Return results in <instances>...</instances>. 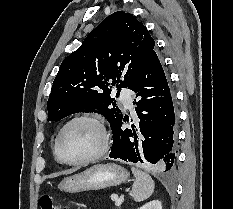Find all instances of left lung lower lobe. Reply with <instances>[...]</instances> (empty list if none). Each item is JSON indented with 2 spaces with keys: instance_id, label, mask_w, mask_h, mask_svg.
Here are the masks:
<instances>
[{
  "instance_id": "0a47b994",
  "label": "left lung lower lobe",
  "mask_w": 233,
  "mask_h": 209,
  "mask_svg": "<svg viewBox=\"0 0 233 209\" xmlns=\"http://www.w3.org/2000/svg\"><path fill=\"white\" fill-rule=\"evenodd\" d=\"M136 93L134 104L138 122L122 129L129 121L121 117L111 125L113 144L110 158L144 164L170 171L175 166L176 116L170 88L157 54L152 53L132 79L129 87Z\"/></svg>"
}]
</instances>
